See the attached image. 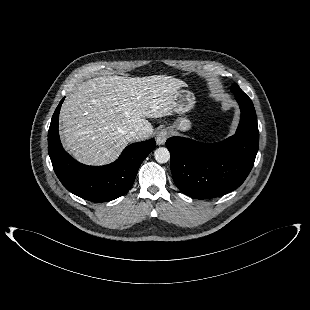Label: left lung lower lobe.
<instances>
[{
    "mask_svg": "<svg viewBox=\"0 0 310 310\" xmlns=\"http://www.w3.org/2000/svg\"><path fill=\"white\" fill-rule=\"evenodd\" d=\"M234 94L241 119L233 136L213 144L176 136L166 141L173 180L192 198H214L233 191L253 167L259 146L256 112L242 90Z\"/></svg>",
    "mask_w": 310,
    "mask_h": 310,
    "instance_id": "obj_1",
    "label": "left lung lower lobe"
}]
</instances>
